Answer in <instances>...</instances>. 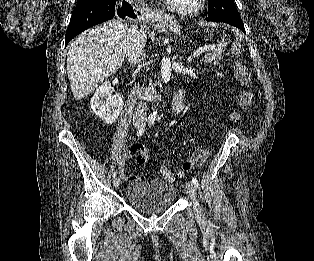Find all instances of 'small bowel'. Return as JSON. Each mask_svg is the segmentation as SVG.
<instances>
[{
	"label": "small bowel",
	"instance_id": "1",
	"mask_svg": "<svg viewBox=\"0 0 314 261\" xmlns=\"http://www.w3.org/2000/svg\"><path fill=\"white\" fill-rule=\"evenodd\" d=\"M174 111L180 112L176 109H174ZM139 155H144V156L148 157L147 151L142 144H134V145H131L130 147H128V149L125 151V153L121 157V159H120V173H121V176L124 180L133 181L136 179L135 175L127 174L125 172L124 164L131 159H135V161L138 162L137 158ZM159 172L166 181H168V182H174L175 181L174 174L170 170H168V168L165 165H161L159 167Z\"/></svg>",
	"mask_w": 314,
	"mask_h": 261
}]
</instances>
